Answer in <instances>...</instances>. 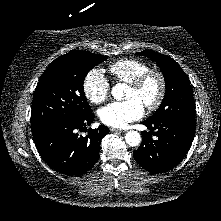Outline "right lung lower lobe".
Listing matches in <instances>:
<instances>
[{"label": "right lung lower lobe", "instance_id": "1", "mask_svg": "<svg viewBox=\"0 0 221 221\" xmlns=\"http://www.w3.org/2000/svg\"><path fill=\"white\" fill-rule=\"evenodd\" d=\"M94 120V114L55 121L33 133L34 143L48 166L64 175L80 176L89 171L99 159L100 141L109 128H89L82 136L78 131Z\"/></svg>", "mask_w": 221, "mask_h": 221}]
</instances>
